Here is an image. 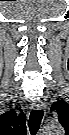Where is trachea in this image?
<instances>
[{"label":"trachea","mask_w":69,"mask_h":135,"mask_svg":"<svg viewBox=\"0 0 69 135\" xmlns=\"http://www.w3.org/2000/svg\"><path fill=\"white\" fill-rule=\"evenodd\" d=\"M44 112L43 110H33L30 113L28 120L29 131L32 135H35L40 128V124L43 118Z\"/></svg>","instance_id":"obj_1"}]
</instances>
